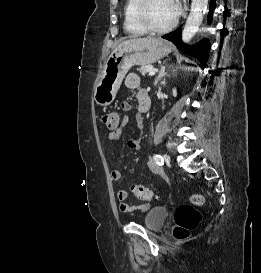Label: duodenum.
<instances>
[{
  "instance_id": "obj_1",
  "label": "duodenum",
  "mask_w": 261,
  "mask_h": 273,
  "mask_svg": "<svg viewBox=\"0 0 261 273\" xmlns=\"http://www.w3.org/2000/svg\"><path fill=\"white\" fill-rule=\"evenodd\" d=\"M149 107H150V99H149L148 96H146L145 100H144V102L142 104L141 109H142L143 112H145V111H147L149 109Z\"/></svg>"
}]
</instances>
